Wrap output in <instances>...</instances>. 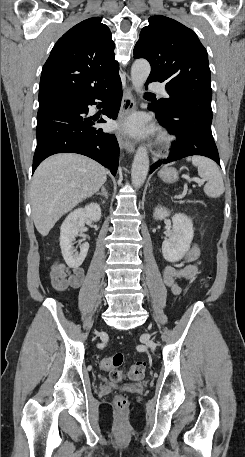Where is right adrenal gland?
I'll return each mask as SVG.
<instances>
[{
	"label": "right adrenal gland",
	"mask_w": 245,
	"mask_h": 457,
	"mask_svg": "<svg viewBox=\"0 0 245 457\" xmlns=\"http://www.w3.org/2000/svg\"><path fill=\"white\" fill-rule=\"evenodd\" d=\"M96 194H102V196H105V198H108V192L106 190V186H101V192H96ZM105 202V200H104Z\"/></svg>",
	"instance_id": "right-adrenal-gland-1"
}]
</instances>
